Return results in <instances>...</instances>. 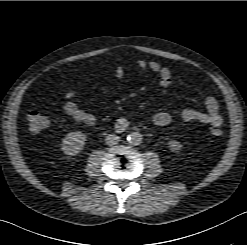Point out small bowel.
Returning <instances> with one entry per match:
<instances>
[{
    "mask_svg": "<svg viewBox=\"0 0 247 245\" xmlns=\"http://www.w3.org/2000/svg\"><path fill=\"white\" fill-rule=\"evenodd\" d=\"M137 66L143 73L153 72L159 77V83L162 86H170L173 82L172 73L167 67H163L157 61H146L139 59L136 62ZM116 79L120 80L124 77L123 67L117 66L115 70ZM78 91L75 89L69 90L65 94L67 101L64 103L63 109L66 114L74 120L84 123L86 125H93L95 123V116L90 112L82 109L73 99L77 96ZM205 111H200L194 108H186L181 112V117L186 122H201L209 124L212 127L221 126L223 119L219 113V104L215 97L206 96L203 99ZM153 122L157 126H166L171 122V115L167 112L161 111L154 115Z\"/></svg>",
    "mask_w": 247,
    "mask_h": 245,
    "instance_id": "obj_1",
    "label": "small bowel"
}]
</instances>
